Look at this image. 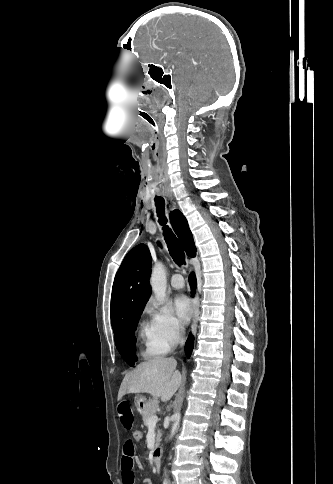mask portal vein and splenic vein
Masks as SVG:
<instances>
[{
  "instance_id": "18ae733b",
  "label": "portal vein and splenic vein",
  "mask_w": 333,
  "mask_h": 484,
  "mask_svg": "<svg viewBox=\"0 0 333 484\" xmlns=\"http://www.w3.org/2000/svg\"><path fill=\"white\" fill-rule=\"evenodd\" d=\"M158 421V417L156 415L152 416L149 421H148V425L149 426H155L156 423Z\"/></svg>"
}]
</instances>
